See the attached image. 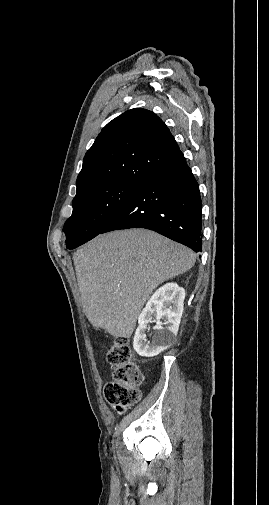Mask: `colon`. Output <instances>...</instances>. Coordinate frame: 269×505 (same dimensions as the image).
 I'll list each match as a JSON object with an SVG mask.
<instances>
[{"instance_id": "colon-1", "label": "colon", "mask_w": 269, "mask_h": 505, "mask_svg": "<svg viewBox=\"0 0 269 505\" xmlns=\"http://www.w3.org/2000/svg\"><path fill=\"white\" fill-rule=\"evenodd\" d=\"M112 380L105 385L104 397L117 412L124 413L141 399L139 386L143 376L133 360L129 340L118 338L106 349Z\"/></svg>"}]
</instances>
